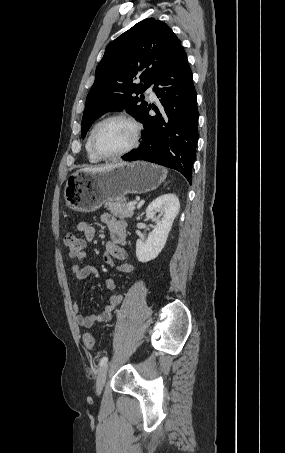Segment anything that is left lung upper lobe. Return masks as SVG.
Masks as SVG:
<instances>
[{"label": "left lung upper lobe", "instance_id": "left-lung-upper-lobe-1", "mask_svg": "<svg viewBox=\"0 0 285 453\" xmlns=\"http://www.w3.org/2000/svg\"><path fill=\"white\" fill-rule=\"evenodd\" d=\"M179 44L170 27L155 18L140 21L112 41L87 95L82 138L96 119L111 110L126 107L127 113L140 120L148 103L138 95L154 84ZM136 78L141 79L140 84L134 82Z\"/></svg>", "mask_w": 285, "mask_h": 453}]
</instances>
